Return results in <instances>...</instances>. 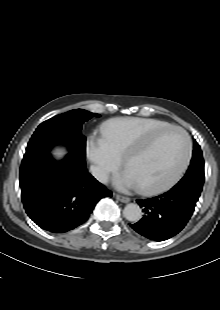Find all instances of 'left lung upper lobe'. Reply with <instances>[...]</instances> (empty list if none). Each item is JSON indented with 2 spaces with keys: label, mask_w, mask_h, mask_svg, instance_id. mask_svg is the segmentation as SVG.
I'll return each mask as SVG.
<instances>
[{
  "label": "left lung upper lobe",
  "mask_w": 220,
  "mask_h": 310,
  "mask_svg": "<svg viewBox=\"0 0 220 310\" xmlns=\"http://www.w3.org/2000/svg\"><path fill=\"white\" fill-rule=\"evenodd\" d=\"M204 183V160L200 146L194 141L193 156L190 166L179 185H194L202 189Z\"/></svg>",
  "instance_id": "1"
}]
</instances>
